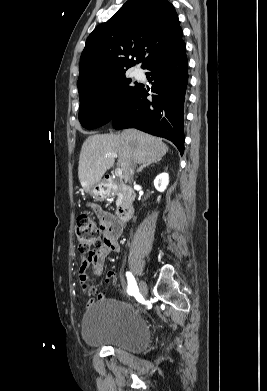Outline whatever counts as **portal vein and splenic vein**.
Instances as JSON below:
<instances>
[{
	"label": "portal vein and splenic vein",
	"mask_w": 267,
	"mask_h": 391,
	"mask_svg": "<svg viewBox=\"0 0 267 391\" xmlns=\"http://www.w3.org/2000/svg\"><path fill=\"white\" fill-rule=\"evenodd\" d=\"M107 156H112V157H114V158H117V157H118V155H117L116 153L107 154ZM122 174H123V170L120 169V168L117 169V170L115 171V175H116V176L121 177Z\"/></svg>",
	"instance_id": "portal-vein-and-splenic-vein-1"
}]
</instances>
